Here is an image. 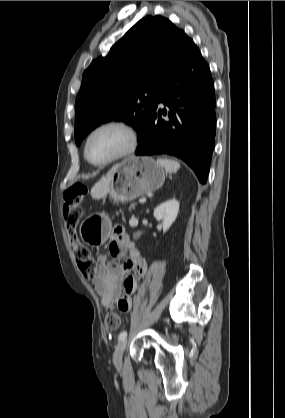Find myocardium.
I'll list each match as a JSON object with an SVG mask.
<instances>
[{
  "label": "myocardium",
  "instance_id": "myocardium-1",
  "mask_svg": "<svg viewBox=\"0 0 285 418\" xmlns=\"http://www.w3.org/2000/svg\"><path fill=\"white\" fill-rule=\"evenodd\" d=\"M110 127H114V128H119L122 131L125 132V134L127 135V144L124 147V149L122 151H120L119 153H117L116 155L106 159L105 161L102 162H94L92 161L88 154H87V147H88V143L91 139V137L98 131L105 129V128H110ZM137 132L135 131V129L129 125L128 123L124 122V121H120V120H109V121H105L102 122L98 125H96L94 128H92L89 133L86 135L85 140H84V144H83V153H84V157L85 159L92 165L94 166H104V165H108L114 161L123 159L127 156H129L130 154H132L137 146Z\"/></svg>",
  "mask_w": 285,
  "mask_h": 418
}]
</instances>
